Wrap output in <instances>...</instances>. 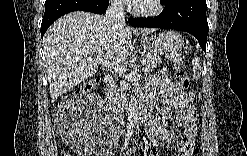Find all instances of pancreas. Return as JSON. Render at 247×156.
I'll list each match as a JSON object with an SVG mask.
<instances>
[{
	"instance_id": "1",
	"label": "pancreas",
	"mask_w": 247,
	"mask_h": 156,
	"mask_svg": "<svg viewBox=\"0 0 247 156\" xmlns=\"http://www.w3.org/2000/svg\"><path fill=\"white\" fill-rule=\"evenodd\" d=\"M166 58H172V57L170 55H166ZM145 60H146V62L144 63V65H145L144 72L145 73H149L157 65L162 63V59H161L160 55H158L157 53H152V52L146 53ZM121 85H123V89L128 88V84H126L124 79L121 80Z\"/></svg>"
}]
</instances>
